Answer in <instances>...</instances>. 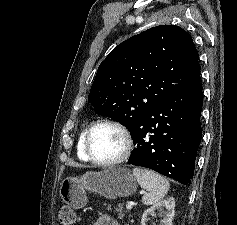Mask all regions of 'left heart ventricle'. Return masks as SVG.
I'll use <instances>...</instances> for the list:
<instances>
[{
  "label": "left heart ventricle",
  "instance_id": "left-heart-ventricle-1",
  "mask_svg": "<svg viewBox=\"0 0 237 225\" xmlns=\"http://www.w3.org/2000/svg\"><path fill=\"white\" fill-rule=\"evenodd\" d=\"M123 145L121 134L116 129L108 126L95 129L90 140L91 152L100 160L116 158L122 152Z\"/></svg>",
  "mask_w": 237,
  "mask_h": 225
}]
</instances>
